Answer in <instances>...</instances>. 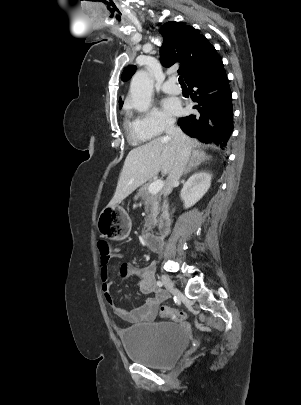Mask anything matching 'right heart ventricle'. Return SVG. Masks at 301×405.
<instances>
[{"label":"right heart ventricle","mask_w":301,"mask_h":405,"mask_svg":"<svg viewBox=\"0 0 301 405\" xmlns=\"http://www.w3.org/2000/svg\"><path fill=\"white\" fill-rule=\"evenodd\" d=\"M123 125L129 141L133 144H142L152 138V135L140 125L138 118L134 117L129 110L125 112Z\"/></svg>","instance_id":"obj_1"}]
</instances>
